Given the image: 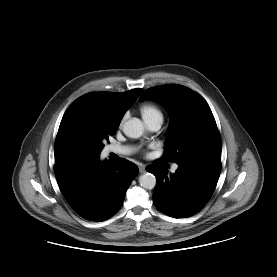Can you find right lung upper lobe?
<instances>
[{"label":"right lung upper lobe","mask_w":277,"mask_h":277,"mask_svg":"<svg viewBox=\"0 0 277 277\" xmlns=\"http://www.w3.org/2000/svg\"><path fill=\"white\" fill-rule=\"evenodd\" d=\"M143 89H133L123 93H89L76 99L65 112L59 126L55 141V162L76 159L93 158L78 142L70 125V114L73 108L81 105L91 114L102 118L109 124L118 126L125 111L135 101Z\"/></svg>","instance_id":"cb5924a9"}]
</instances>
